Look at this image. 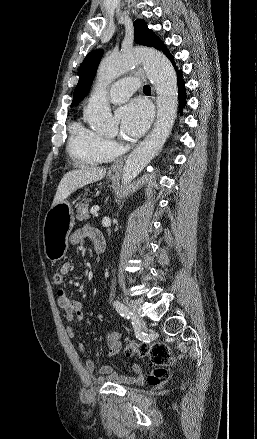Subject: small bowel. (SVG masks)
Segmentation results:
<instances>
[{"instance_id": "1", "label": "small bowel", "mask_w": 257, "mask_h": 439, "mask_svg": "<svg viewBox=\"0 0 257 439\" xmlns=\"http://www.w3.org/2000/svg\"><path fill=\"white\" fill-rule=\"evenodd\" d=\"M102 237L98 231L90 226H83L76 230L70 236V242L72 244H78L82 240H89L93 244L96 240ZM71 272V264L65 262L60 267V274L62 276L67 275ZM58 304L60 308L65 311V316L68 321L79 322L84 318L83 305L78 300H71L64 289H59L57 292ZM67 334L70 338L75 337V330L73 327L67 328ZM107 348L109 356H114L122 348V335L119 332L109 331L106 332ZM81 352L85 353V348L82 344L79 345ZM133 375L126 376L117 373L111 366H102L99 369L102 380H107L117 384H141L144 381V375L141 368L137 363L132 364ZM84 369L87 373H92L94 370V363L91 359L86 358L84 362Z\"/></svg>"}]
</instances>
